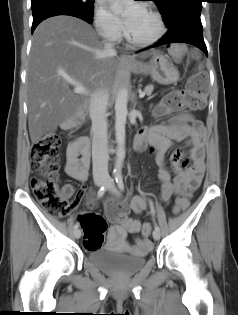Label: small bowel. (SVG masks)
Instances as JSON below:
<instances>
[{
  "label": "small bowel",
  "mask_w": 238,
  "mask_h": 315,
  "mask_svg": "<svg viewBox=\"0 0 238 315\" xmlns=\"http://www.w3.org/2000/svg\"><path fill=\"white\" fill-rule=\"evenodd\" d=\"M206 130L197 120H189L187 124L177 129H172L165 124H154L150 127L140 129L135 136V141L139 151L149 147L150 152L154 154L156 163L159 167L158 178L160 181V199L168 202L176 194L186 197L190 192L200 184L204 170V140ZM187 140L190 147V156L193 161L192 165L182 170L188 165L185 153L182 149L174 152L171 163L175 172L173 181L166 166V154L172 147V140ZM91 163L90 142L87 138H78L72 141L67 148L65 171L71 178L84 182L88 179L89 168ZM73 186L64 185L60 194L69 199L73 195ZM83 196V190L77 197L76 205ZM126 207H130L136 214H141L147 207L148 202L140 196H134ZM81 217V216H80ZM142 227L138 219H124L119 224L110 227L108 238L110 241L115 239L123 240L128 233L139 232ZM152 247L150 239H135L134 246L130 252L136 255L147 253Z\"/></svg>",
  "instance_id": "small-bowel-1"
}]
</instances>
